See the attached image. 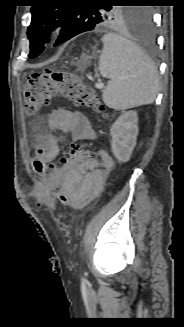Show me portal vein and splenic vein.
<instances>
[{
  "instance_id": "obj_1",
  "label": "portal vein and splenic vein",
  "mask_w": 184,
  "mask_h": 327,
  "mask_svg": "<svg viewBox=\"0 0 184 327\" xmlns=\"http://www.w3.org/2000/svg\"><path fill=\"white\" fill-rule=\"evenodd\" d=\"M103 86H104L103 83H98V84L96 85V88H97V89H102Z\"/></svg>"
}]
</instances>
